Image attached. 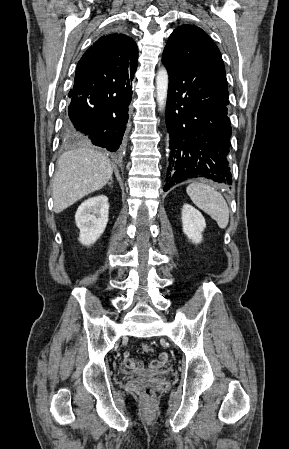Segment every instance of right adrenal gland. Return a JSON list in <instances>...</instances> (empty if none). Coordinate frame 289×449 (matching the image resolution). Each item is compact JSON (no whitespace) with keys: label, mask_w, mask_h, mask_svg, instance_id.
<instances>
[{"label":"right adrenal gland","mask_w":289,"mask_h":449,"mask_svg":"<svg viewBox=\"0 0 289 449\" xmlns=\"http://www.w3.org/2000/svg\"><path fill=\"white\" fill-rule=\"evenodd\" d=\"M112 182H113V181H111V183H109V185H111V184H112Z\"/></svg>","instance_id":"right-adrenal-gland-1"}]
</instances>
